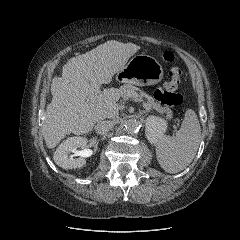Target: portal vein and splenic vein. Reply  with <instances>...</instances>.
Returning a JSON list of instances; mask_svg holds the SVG:
<instances>
[{
    "instance_id": "obj_1",
    "label": "portal vein and splenic vein",
    "mask_w": 240,
    "mask_h": 240,
    "mask_svg": "<svg viewBox=\"0 0 240 240\" xmlns=\"http://www.w3.org/2000/svg\"><path fill=\"white\" fill-rule=\"evenodd\" d=\"M101 92H102V91L100 90V86H99V85H93V86L91 87V90H90V97H95V96H97L98 94H100ZM110 95H113L112 91H111ZM135 98H136L137 101L142 102L141 99H138L137 97H135ZM142 105H143V107H144L146 110H148V111L151 110V106L148 105L147 103L142 102Z\"/></svg>"
}]
</instances>
